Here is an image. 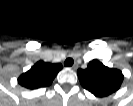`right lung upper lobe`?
<instances>
[{
  "mask_svg": "<svg viewBox=\"0 0 133 106\" xmlns=\"http://www.w3.org/2000/svg\"><path fill=\"white\" fill-rule=\"evenodd\" d=\"M62 68L60 63L52 64L39 61L18 78V83L27 89L47 87Z\"/></svg>",
  "mask_w": 133,
  "mask_h": 106,
  "instance_id": "1",
  "label": "right lung upper lobe"
}]
</instances>
